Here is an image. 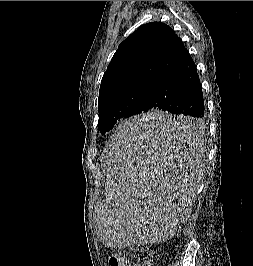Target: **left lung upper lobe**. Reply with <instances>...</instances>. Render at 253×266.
I'll return each instance as SVG.
<instances>
[{"instance_id": "5c2ea615", "label": "left lung upper lobe", "mask_w": 253, "mask_h": 266, "mask_svg": "<svg viewBox=\"0 0 253 266\" xmlns=\"http://www.w3.org/2000/svg\"><path fill=\"white\" fill-rule=\"evenodd\" d=\"M174 35L166 24L151 22L141 25L119 45L99 90L98 129L102 134L121 119L142 113L153 73Z\"/></svg>"}]
</instances>
